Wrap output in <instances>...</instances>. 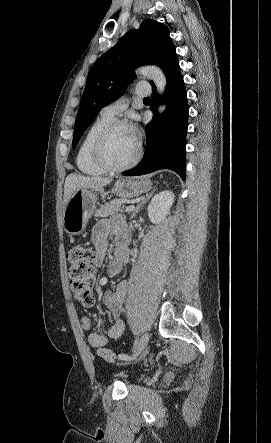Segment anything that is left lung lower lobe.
Instances as JSON below:
<instances>
[{
	"label": "left lung lower lobe",
	"mask_w": 271,
	"mask_h": 443,
	"mask_svg": "<svg viewBox=\"0 0 271 443\" xmlns=\"http://www.w3.org/2000/svg\"><path fill=\"white\" fill-rule=\"evenodd\" d=\"M165 73L167 88L160 98L153 82L150 110L153 119L146 125V152L141 162L123 172L125 176L144 175L160 169H170L185 180L186 134L188 127V105L185 86L175 48L171 49L157 64ZM163 100L167 107L158 115V104Z\"/></svg>",
	"instance_id": "obj_1"
}]
</instances>
